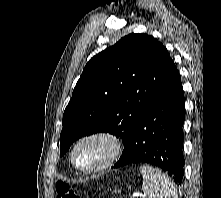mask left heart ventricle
<instances>
[{
    "label": "left heart ventricle",
    "instance_id": "b2bd125f",
    "mask_svg": "<svg viewBox=\"0 0 221 198\" xmlns=\"http://www.w3.org/2000/svg\"><path fill=\"white\" fill-rule=\"evenodd\" d=\"M108 153V146L100 140L87 141L81 144L75 154L77 165L83 168H91L105 158Z\"/></svg>",
    "mask_w": 221,
    "mask_h": 198
}]
</instances>
